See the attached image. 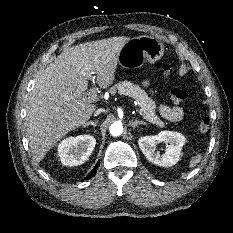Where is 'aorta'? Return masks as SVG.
<instances>
[{"instance_id":"1","label":"aorta","mask_w":233,"mask_h":233,"mask_svg":"<svg viewBox=\"0 0 233 233\" xmlns=\"http://www.w3.org/2000/svg\"><path fill=\"white\" fill-rule=\"evenodd\" d=\"M109 130H110V134L112 136H119L123 132V126H122V124L120 122H114L110 126Z\"/></svg>"}]
</instances>
